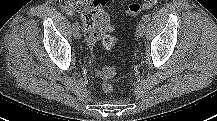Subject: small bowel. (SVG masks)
Segmentation results:
<instances>
[{
    "label": "small bowel",
    "instance_id": "obj_1",
    "mask_svg": "<svg viewBox=\"0 0 217 121\" xmlns=\"http://www.w3.org/2000/svg\"><path fill=\"white\" fill-rule=\"evenodd\" d=\"M106 20H107L106 30L103 34L95 35L92 32H88L87 42L90 46H94L96 43H98L107 32H113L115 30V23L111 22L108 16L106 17Z\"/></svg>",
    "mask_w": 217,
    "mask_h": 121
}]
</instances>
